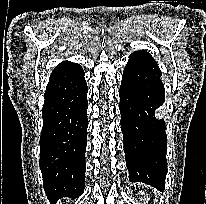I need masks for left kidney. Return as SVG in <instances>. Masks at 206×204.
Instances as JSON below:
<instances>
[{"label": "left kidney", "instance_id": "left-kidney-1", "mask_svg": "<svg viewBox=\"0 0 206 204\" xmlns=\"http://www.w3.org/2000/svg\"><path fill=\"white\" fill-rule=\"evenodd\" d=\"M141 195H145L144 191H140ZM149 198L147 197V199L145 198L144 201H146V203L148 202ZM145 202L143 204H146Z\"/></svg>", "mask_w": 206, "mask_h": 204}]
</instances>
